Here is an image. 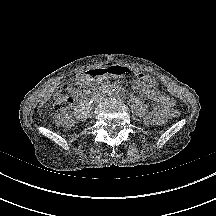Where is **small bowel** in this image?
Segmentation results:
<instances>
[{"label":"small bowel","mask_w":216,"mask_h":216,"mask_svg":"<svg viewBox=\"0 0 216 216\" xmlns=\"http://www.w3.org/2000/svg\"><path fill=\"white\" fill-rule=\"evenodd\" d=\"M131 85L140 94L156 103V107L147 115L146 123L149 125L162 123L174 106V99L157 89V81L152 76L140 75L131 82ZM70 91L73 94L77 93L75 87H71Z\"/></svg>","instance_id":"obj_1"}]
</instances>
